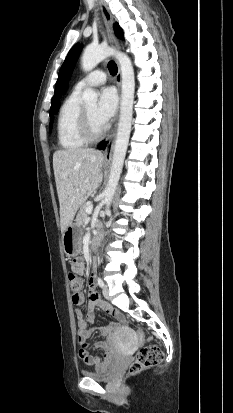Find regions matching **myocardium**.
<instances>
[{"label": "myocardium", "mask_w": 233, "mask_h": 413, "mask_svg": "<svg viewBox=\"0 0 233 413\" xmlns=\"http://www.w3.org/2000/svg\"><path fill=\"white\" fill-rule=\"evenodd\" d=\"M79 130L82 138L87 142H95L100 140L105 133V129L101 127L95 130L88 114L86 107H82L80 116Z\"/></svg>", "instance_id": "myocardium-1"}]
</instances>
